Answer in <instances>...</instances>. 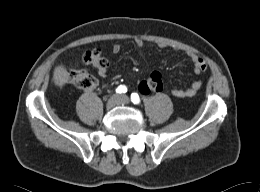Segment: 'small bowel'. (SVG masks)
<instances>
[{"mask_svg":"<svg viewBox=\"0 0 260 192\" xmlns=\"http://www.w3.org/2000/svg\"><path fill=\"white\" fill-rule=\"evenodd\" d=\"M135 47L136 50L141 54L144 55L143 47L144 43L142 40H137L135 42ZM112 52L114 54H117L121 51V45L120 44H114L111 48ZM189 57L193 63V72L195 75H200L201 73L205 72L207 69V63L206 61L196 55V54H189ZM98 74L102 77H105L108 73L107 67H100L96 69ZM203 85V81L201 80H196L190 84L187 88H174L172 89V94L177 97V98H189L195 96L198 91L201 89ZM139 89L141 93L146 94V85H145V80H143L140 85Z\"/></svg>","mask_w":260,"mask_h":192,"instance_id":"obj_1","label":"small bowel"}]
</instances>
